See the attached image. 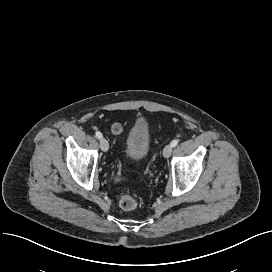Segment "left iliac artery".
<instances>
[{"label":"left iliac artery","instance_id":"obj_1","mask_svg":"<svg viewBox=\"0 0 272 272\" xmlns=\"http://www.w3.org/2000/svg\"><path fill=\"white\" fill-rule=\"evenodd\" d=\"M178 143H179V140L175 139L170 144L172 147H175V146H177Z\"/></svg>","mask_w":272,"mask_h":272}]
</instances>
